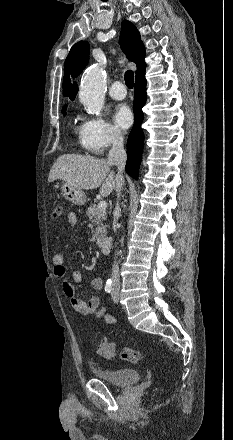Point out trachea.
<instances>
[{"label": "trachea", "instance_id": "1", "mask_svg": "<svg viewBox=\"0 0 233 440\" xmlns=\"http://www.w3.org/2000/svg\"><path fill=\"white\" fill-rule=\"evenodd\" d=\"M125 83L126 86L130 89L133 88L134 85V73L131 70L125 72Z\"/></svg>", "mask_w": 233, "mask_h": 440}]
</instances>
